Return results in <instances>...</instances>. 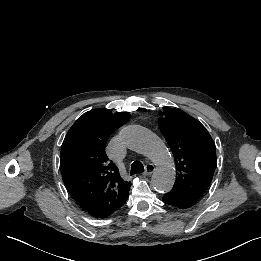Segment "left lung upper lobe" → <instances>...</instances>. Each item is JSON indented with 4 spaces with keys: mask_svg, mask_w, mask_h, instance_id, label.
I'll return each mask as SVG.
<instances>
[{
    "mask_svg": "<svg viewBox=\"0 0 261 261\" xmlns=\"http://www.w3.org/2000/svg\"><path fill=\"white\" fill-rule=\"evenodd\" d=\"M164 112L159 127L175 157L178 176L173 188L199 198L216 167L213 140L206 128L184 111L165 107Z\"/></svg>",
    "mask_w": 261,
    "mask_h": 261,
    "instance_id": "left-lung-upper-lobe-1",
    "label": "left lung upper lobe"
}]
</instances>
